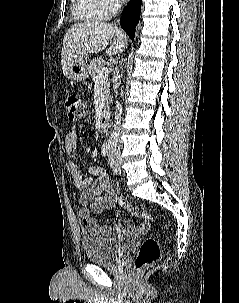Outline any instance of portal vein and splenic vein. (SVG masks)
Here are the masks:
<instances>
[{"label": "portal vein and splenic vein", "mask_w": 239, "mask_h": 303, "mask_svg": "<svg viewBox=\"0 0 239 303\" xmlns=\"http://www.w3.org/2000/svg\"><path fill=\"white\" fill-rule=\"evenodd\" d=\"M109 74V70L107 67H103L97 74V81L98 80H104L105 78H107Z\"/></svg>", "instance_id": "obj_1"}]
</instances>
